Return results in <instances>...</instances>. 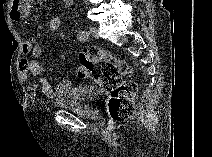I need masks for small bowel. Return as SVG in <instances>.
I'll list each match as a JSON object with an SVG mask.
<instances>
[{"label":"small bowel","instance_id":"small-bowel-1","mask_svg":"<svg viewBox=\"0 0 212 157\" xmlns=\"http://www.w3.org/2000/svg\"><path fill=\"white\" fill-rule=\"evenodd\" d=\"M33 0H13L9 5L8 16L12 21H21L26 19L31 11ZM65 4L70 5L69 1ZM61 26V20L53 19L49 25L51 33L56 32ZM24 57L19 61V72L23 82L28 81L29 76L39 77L36 84L42 93L49 98L61 96L71 89V81L62 79L58 84H54L46 77L45 68L39 62L41 54L38 41L34 37L27 38L22 45Z\"/></svg>","mask_w":212,"mask_h":157}]
</instances>
